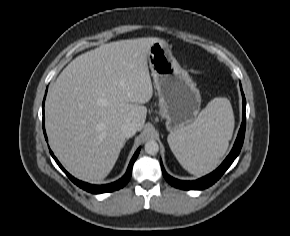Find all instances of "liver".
Listing matches in <instances>:
<instances>
[{"label":"liver","instance_id":"1","mask_svg":"<svg viewBox=\"0 0 290 236\" xmlns=\"http://www.w3.org/2000/svg\"><path fill=\"white\" fill-rule=\"evenodd\" d=\"M159 38L114 41L72 60L52 85L45 104L50 146L65 169L100 183L114 167L125 137L141 131L153 95L147 55Z\"/></svg>","mask_w":290,"mask_h":236}]
</instances>
